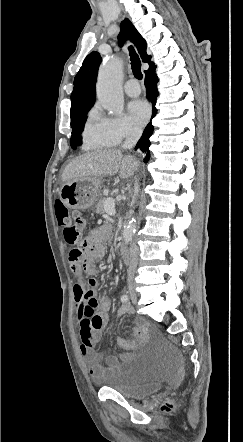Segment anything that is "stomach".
Masks as SVG:
<instances>
[{
	"label": "stomach",
	"mask_w": 243,
	"mask_h": 442,
	"mask_svg": "<svg viewBox=\"0 0 243 442\" xmlns=\"http://www.w3.org/2000/svg\"><path fill=\"white\" fill-rule=\"evenodd\" d=\"M101 184L100 177L74 178L61 187L59 197L69 208L86 210L94 204Z\"/></svg>",
	"instance_id": "1"
}]
</instances>
